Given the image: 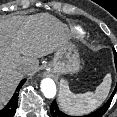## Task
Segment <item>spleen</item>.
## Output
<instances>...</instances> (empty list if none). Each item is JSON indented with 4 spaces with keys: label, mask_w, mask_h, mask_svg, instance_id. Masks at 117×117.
Here are the masks:
<instances>
[{
    "label": "spleen",
    "mask_w": 117,
    "mask_h": 117,
    "mask_svg": "<svg viewBox=\"0 0 117 117\" xmlns=\"http://www.w3.org/2000/svg\"><path fill=\"white\" fill-rule=\"evenodd\" d=\"M111 82V74L107 73L95 92L75 94L71 92L67 81L61 80L59 91L60 107L69 115L88 114L98 108L107 98Z\"/></svg>",
    "instance_id": "obj_1"
}]
</instances>
